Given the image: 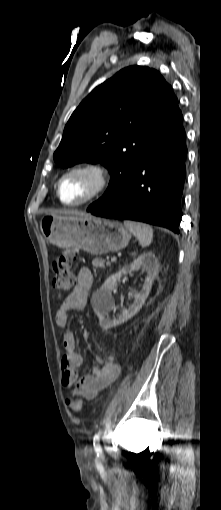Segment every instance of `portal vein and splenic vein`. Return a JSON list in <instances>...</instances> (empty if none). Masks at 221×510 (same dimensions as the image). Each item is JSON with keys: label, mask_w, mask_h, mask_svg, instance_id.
<instances>
[{"label": "portal vein and splenic vein", "mask_w": 221, "mask_h": 510, "mask_svg": "<svg viewBox=\"0 0 221 510\" xmlns=\"http://www.w3.org/2000/svg\"><path fill=\"white\" fill-rule=\"evenodd\" d=\"M114 261H116V257L111 258V262H114ZM108 263H110V262H108Z\"/></svg>", "instance_id": "obj_1"}]
</instances>
